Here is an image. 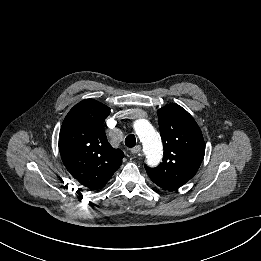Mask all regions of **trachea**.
Returning a JSON list of instances; mask_svg holds the SVG:
<instances>
[{
    "instance_id": "1",
    "label": "trachea",
    "mask_w": 261,
    "mask_h": 261,
    "mask_svg": "<svg viewBox=\"0 0 261 261\" xmlns=\"http://www.w3.org/2000/svg\"><path fill=\"white\" fill-rule=\"evenodd\" d=\"M125 145L132 148L136 145V138L133 134H129L125 139Z\"/></svg>"
}]
</instances>
